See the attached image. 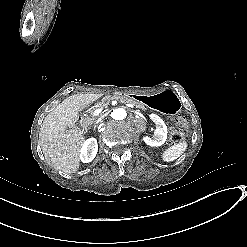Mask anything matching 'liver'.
<instances>
[{"label":"liver","instance_id":"6515ba94","mask_svg":"<svg viewBox=\"0 0 247 247\" xmlns=\"http://www.w3.org/2000/svg\"><path fill=\"white\" fill-rule=\"evenodd\" d=\"M103 94H74L63 100L44 118L39 141L46 162L66 177L78 171L84 132L75 127L79 112ZM70 129H67V128Z\"/></svg>","mask_w":247,"mask_h":247}]
</instances>
